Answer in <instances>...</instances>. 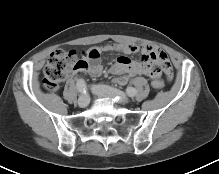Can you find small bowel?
<instances>
[{
  "label": "small bowel",
  "instance_id": "1",
  "mask_svg": "<svg viewBox=\"0 0 219 174\" xmlns=\"http://www.w3.org/2000/svg\"><path fill=\"white\" fill-rule=\"evenodd\" d=\"M98 52L97 57L91 56V51L85 53L86 59L83 60L82 66L76 69L77 72L89 73L94 76H98L102 72V65L99 55L101 52L117 50L123 55L118 57L115 63L111 66L110 71L120 76L116 79V83L124 85L128 77L136 75H145L152 79H156L163 71L166 75L173 76L171 64L167 55L159 48L151 45L143 46L142 48L134 44H116L105 45L97 49H93ZM142 53L143 62L132 61L128 55L138 52ZM164 56V59H161ZM152 57L157 59V62L152 61ZM155 64L156 66H153Z\"/></svg>",
  "mask_w": 219,
  "mask_h": 174
}]
</instances>
